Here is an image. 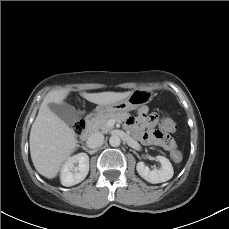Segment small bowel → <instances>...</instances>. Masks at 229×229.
<instances>
[{
    "label": "small bowel",
    "mask_w": 229,
    "mask_h": 229,
    "mask_svg": "<svg viewBox=\"0 0 229 229\" xmlns=\"http://www.w3.org/2000/svg\"><path fill=\"white\" fill-rule=\"evenodd\" d=\"M158 122V115L150 112L148 107L142 106L135 116L130 117L126 123L127 129L142 144L154 146L158 144L152 130Z\"/></svg>",
    "instance_id": "obj_1"
}]
</instances>
